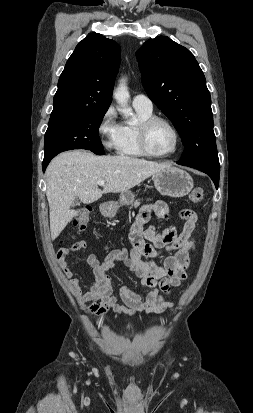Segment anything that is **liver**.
Here are the masks:
<instances>
[{"instance_id": "6515ba94", "label": "liver", "mask_w": 253, "mask_h": 413, "mask_svg": "<svg viewBox=\"0 0 253 413\" xmlns=\"http://www.w3.org/2000/svg\"><path fill=\"white\" fill-rule=\"evenodd\" d=\"M169 167V163L129 156H95L83 150L59 154L46 170L51 239L55 240L76 216L77 212L70 209L75 198L92 203L103 194L125 192ZM99 180L105 182L102 190Z\"/></svg>"}]
</instances>
